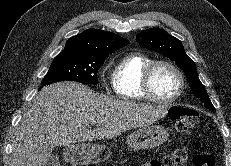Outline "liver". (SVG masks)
Returning a JSON list of instances; mask_svg holds the SVG:
<instances>
[{
    "label": "liver",
    "mask_w": 231,
    "mask_h": 166,
    "mask_svg": "<svg viewBox=\"0 0 231 166\" xmlns=\"http://www.w3.org/2000/svg\"><path fill=\"white\" fill-rule=\"evenodd\" d=\"M166 114V107L110 99L75 82L45 86L16 130L12 162L14 166H45L56 145L114 138ZM89 124L94 130L87 128Z\"/></svg>",
    "instance_id": "1"
}]
</instances>
